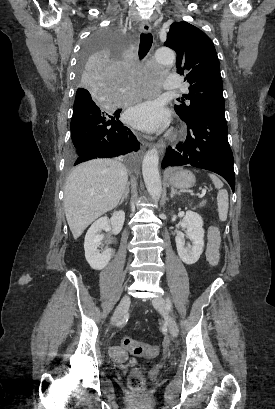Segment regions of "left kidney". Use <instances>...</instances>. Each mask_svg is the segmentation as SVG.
<instances>
[{"label":"left kidney","instance_id":"left-kidney-1","mask_svg":"<svg viewBox=\"0 0 275 409\" xmlns=\"http://www.w3.org/2000/svg\"><path fill=\"white\" fill-rule=\"evenodd\" d=\"M187 227L186 237L192 241V245L185 247V235L179 233L175 237L177 253L186 265H194L200 259V255L203 253L204 247V229H203V219L198 215V213H193V211H186V215L183 219Z\"/></svg>","mask_w":275,"mask_h":409}]
</instances>
